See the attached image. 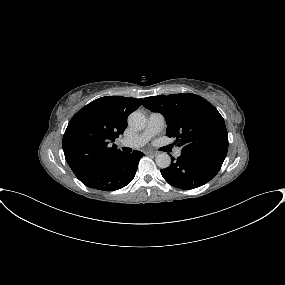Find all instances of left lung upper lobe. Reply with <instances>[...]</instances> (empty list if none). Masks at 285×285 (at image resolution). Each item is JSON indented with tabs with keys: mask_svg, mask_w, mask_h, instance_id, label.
<instances>
[{
	"mask_svg": "<svg viewBox=\"0 0 285 285\" xmlns=\"http://www.w3.org/2000/svg\"><path fill=\"white\" fill-rule=\"evenodd\" d=\"M143 105L165 117L166 135L176 139L181 153L225 159L228 134L224 119L204 98L192 93L158 95L146 97Z\"/></svg>",
	"mask_w": 285,
	"mask_h": 285,
	"instance_id": "5c2ea615",
	"label": "left lung upper lobe"
}]
</instances>
